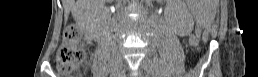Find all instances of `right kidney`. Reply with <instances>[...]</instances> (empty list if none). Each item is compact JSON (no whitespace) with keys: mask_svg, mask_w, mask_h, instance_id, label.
Instances as JSON below:
<instances>
[{"mask_svg":"<svg viewBox=\"0 0 258 77\" xmlns=\"http://www.w3.org/2000/svg\"><path fill=\"white\" fill-rule=\"evenodd\" d=\"M88 4V3H87ZM103 3L102 4H88L87 6L85 7H81L80 9L83 10V9H86V10H89L90 12L93 13L92 17L93 18H98L100 14H102L104 12V9H103ZM81 26L83 27L84 29V33L86 36H88V25L85 24V23H81Z\"/></svg>","mask_w":258,"mask_h":77,"instance_id":"right-kidney-1","label":"right kidney"}]
</instances>
